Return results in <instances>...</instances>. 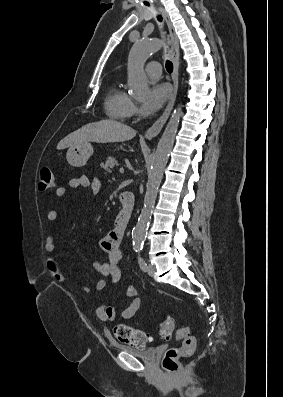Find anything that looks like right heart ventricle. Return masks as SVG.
Here are the masks:
<instances>
[{"label":"right heart ventricle","instance_id":"1","mask_svg":"<svg viewBox=\"0 0 283 397\" xmlns=\"http://www.w3.org/2000/svg\"><path fill=\"white\" fill-rule=\"evenodd\" d=\"M130 101L128 94L118 84L112 85L105 98L107 115L114 120H124Z\"/></svg>","mask_w":283,"mask_h":397}]
</instances>
